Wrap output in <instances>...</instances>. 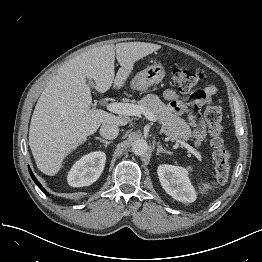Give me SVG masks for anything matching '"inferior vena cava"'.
Returning <instances> with one entry per match:
<instances>
[{
    "label": "inferior vena cava",
    "instance_id": "inferior-vena-cava-1",
    "mask_svg": "<svg viewBox=\"0 0 262 262\" xmlns=\"http://www.w3.org/2000/svg\"><path fill=\"white\" fill-rule=\"evenodd\" d=\"M100 134L106 139H115L119 134V127L111 123L103 124L100 128Z\"/></svg>",
    "mask_w": 262,
    "mask_h": 262
}]
</instances>
